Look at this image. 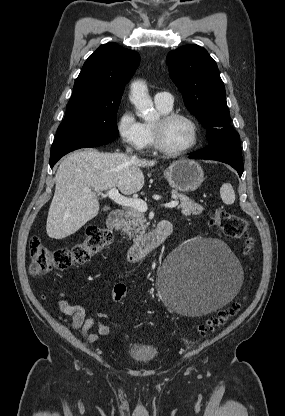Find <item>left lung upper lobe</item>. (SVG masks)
Returning <instances> with one entry per match:
<instances>
[{"label":"left lung upper lobe","mask_w":285,"mask_h":416,"mask_svg":"<svg viewBox=\"0 0 285 416\" xmlns=\"http://www.w3.org/2000/svg\"><path fill=\"white\" fill-rule=\"evenodd\" d=\"M169 75L185 106L207 130L209 143L239 138L230 125L226 93L216 62L206 49L185 45L167 55Z\"/></svg>","instance_id":"5c2ea615"}]
</instances>
